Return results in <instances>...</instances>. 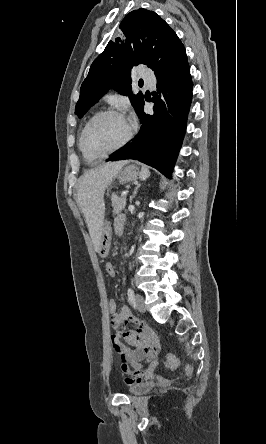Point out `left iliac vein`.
Listing matches in <instances>:
<instances>
[{"instance_id":"4c4485c4","label":"left iliac vein","mask_w":266,"mask_h":444,"mask_svg":"<svg viewBox=\"0 0 266 444\" xmlns=\"http://www.w3.org/2000/svg\"><path fill=\"white\" fill-rule=\"evenodd\" d=\"M135 306L139 312H145V304H144V298L142 295L137 294L135 297Z\"/></svg>"}]
</instances>
